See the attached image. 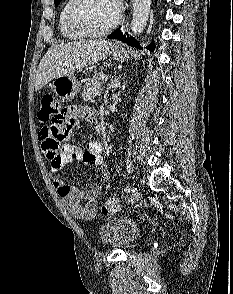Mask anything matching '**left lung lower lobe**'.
Here are the masks:
<instances>
[{
  "label": "left lung lower lobe",
  "mask_w": 233,
  "mask_h": 294,
  "mask_svg": "<svg viewBox=\"0 0 233 294\" xmlns=\"http://www.w3.org/2000/svg\"><path fill=\"white\" fill-rule=\"evenodd\" d=\"M107 38H109V39H118V40H121L123 42H126L128 45H130L132 47L141 48L140 45H139V42H137L134 38L129 37V36H127V37L126 36H123V34L121 33L120 29L115 30ZM149 49L151 51L154 50V42L153 41L150 44Z\"/></svg>",
  "instance_id": "1"
}]
</instances>
